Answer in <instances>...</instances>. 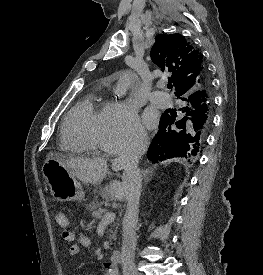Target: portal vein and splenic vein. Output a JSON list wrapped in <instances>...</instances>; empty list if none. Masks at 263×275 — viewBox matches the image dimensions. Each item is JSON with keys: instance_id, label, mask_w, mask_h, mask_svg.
<instances>
[{"instance_id": "18ae733b", "label": "portal vein and splenic vein", "mask_w": 263, "mask_h": 275, "mask_svg": "<svg viewBox=\"0 0 263 275\" xmlns=\"http://www.w3.org/2000/svg\"><path fill=\"white\" fill-rule=\"evenodd\" d=\"M115 217H116L115 213H113V212H107L103 216V218L101 219L100 224H104V225L105 224H110V223H112L115 220Z\"/></svg>"}]
</instances>
